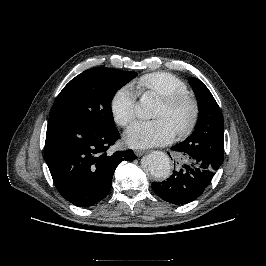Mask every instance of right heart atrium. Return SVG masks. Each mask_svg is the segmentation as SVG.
<instances>
[{
  "mask_svg": "<svg viewBox=\"0 0 266 266\" xmlns=\"http://www.w3.org/2000/svg\"><path fill=\"white\" fill-rule=\"evenodd\" d=\"M111 112L120 126H127L136 116V93L130 86L118 89L111 99Z\"/></svg>",
  "mask_w": 266,
  "mask_h": 266,
  "instance_id": "right-heart-atrium-1",
  "label": "right heart atrium"
}]
</instances>
